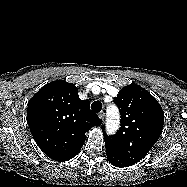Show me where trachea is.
Segmentation results:
<instances>
[{"label": "trachea", "mask_w": 187, "mask_h": 187, "mask_svg": "<svg viewBox=\"0 0 187 187\" xmlns=\"http://www.w3.org/2000/svg\"><path fill=\"white\" fill-rule=\"evenodd\" d=\"M91 109L95 112H100L102 109V103L100 101H94L91 104Z\"/></svg>", "instance_id": "trachea-1"}]
</instances>
